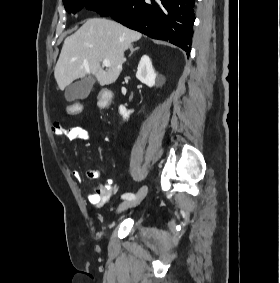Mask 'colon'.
<instances>
[{"label":"colon","mask_w":280,"mask_h":283,"mask_svg":"<svg viewBox=\"0 0 280 283\" xmlns=\"http://www.w3.org/2000/svg\"><path fill=\"white\" fill-rule=\"evenodd\" d=\"M99 92H102L100 94V102L101 104L105 105L112 99V94L107 91L106 87H99ZM82 100L78 99L77 103H68V107H66V115L67 116H81L82 115Z\"/></svg>","instance_id":"colon-1"}]
</instances>
